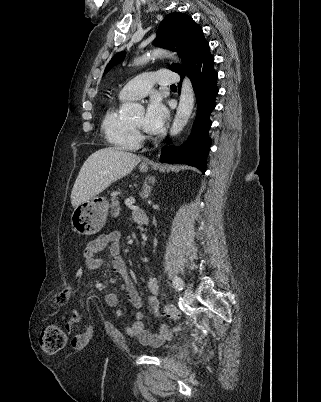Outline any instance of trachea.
<instances>
[{
    "instance_id": "obj_1",
    "label": "trachea",
    "mask_w": 321,
    "mask_h": 402,
    "mask_svg": "<svg viewBox=\"0 0 321 402\" xmlns=\"http://www.w3.org/2000/svg\"><path fill=\"white\" fill-rule=\"evenodd\" d=\"M175 86H176L175 84H172V85H171V87H175Z\"/></svg>"
}]
</instances>
